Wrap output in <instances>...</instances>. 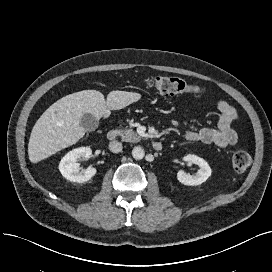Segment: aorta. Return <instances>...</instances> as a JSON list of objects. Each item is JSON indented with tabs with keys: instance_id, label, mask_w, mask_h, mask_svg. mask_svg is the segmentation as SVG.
<instances>
[{
	"instance_id": "obj_1",
	"label": "aorta",
	"mask_w": 272,
	"mask_h": 272,
	"mask_svg": "<svg viewBox=\"0 0 272 272\" xmlns=\"http://www.w3.org/2000/svg\"><path fill=\"white\" fill-rule=\"evenodd\" d=\"M132 156L135 160H141L145 156V151L142 147L136 146L132 150Z\"/></svg>"
}]
</instances>
